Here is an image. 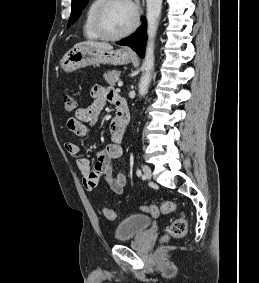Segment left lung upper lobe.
Masks as SVG:
<instances>
[{"instance_id":"obj_1","label":"left lung upper lobe","mask_w":259,"mask_h":283,"mask_svg":"<svg viewBox=\"0 0 259 283\" xmlns=\"http://www.w3.org/2000/svg\"><path fill=\"white\" fill-rule=\"evenodd\" d=\"M87 2L88 0H72L71 16L67 26H70L79 18L80 13Z\"/></svg>"}]
</instances>
